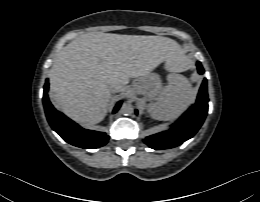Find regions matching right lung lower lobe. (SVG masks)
Here are the masks:
<instances>
[{"label": "right lung lower lobe", "instance_id": "1", "mask_svg": "<svg viewBox=\"0 0 260 202\" xmlns=\"http://www.w3.org/2000/svg\"><path fill=\"white\" fill-rule=\"evenodd\" d=\"M48 86L47 79L44 85L43 104L47 120L52 129L66 142L80 148L94 149L104 146L109 140L106 133L83 129L52 106L47 95ZM121 103L120 101L116 104L113 113L120 108Z\"/></svg>", "mask_w": 260, "mask_h": 202}]
</instances>
